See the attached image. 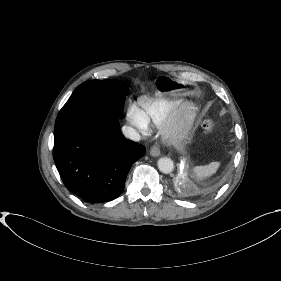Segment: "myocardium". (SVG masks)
Listing matches in <instances>:
<instances>
[{
  "label": "myocardium",
  "mask_w": 281,
  "mask_h": 281,
  "mask_svg": "<svg viewBox=\"0 0 281 281\" xmlns=\"http://www.w3.org/2000/svg\"><path fill=\"white\" fill-rule=\"evenodd\" d=\"M199 115V108L194 102L182 103L163 123L161 134L170 144L182 140L193 128Z\"/></svg>",
  "instance_id": "obj_1"
}]
</instances>
